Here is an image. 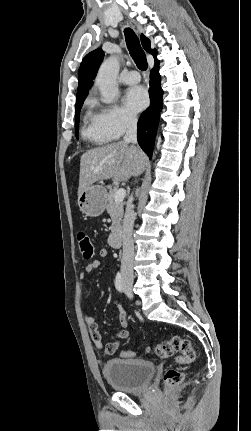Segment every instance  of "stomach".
<instances>
[{
  "mask_svg": "<svg viewBox=\"0 0 251 431\" xmlns=\"http://www.w3.org/2000/svg\"><path fill=\"white\" fill-rule=\"evenodd\" d=\"M106 189L95 185L85 190L78 197V206L83 214L89 217L100 216L106 207Z\"/></svg>",
  "mask_w": 251,
  "mask_h": 431,
  "instance_id": "obj_1",
  "label": "stomach"
}]
</instances>
